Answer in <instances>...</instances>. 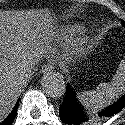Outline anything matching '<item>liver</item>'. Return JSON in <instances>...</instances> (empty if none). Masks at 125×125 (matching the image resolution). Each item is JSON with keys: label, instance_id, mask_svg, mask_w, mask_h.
<instances>
[{"label": "liver", "instance_id": "6515ba94", "mask_svg": "<svg viewBox=\"0 0 125 125\" xmlns=\"http://www.w3.org/2000/svg\"><path fill=\"white\" fill-rule=\"evenodd\" d=\"M0 13H2L0 11ZM38 30L47 29L51 19L41 16L34 19ZM7 20L0 15V122L14 106L19 92L23 87V81L19 79L20 70L23 68L24 58L28 53L21 52L20 44L16 45L12 41L11 26Z\"/></svg>", "mask_w": 125, "mask_h": 125}]
</instances>
